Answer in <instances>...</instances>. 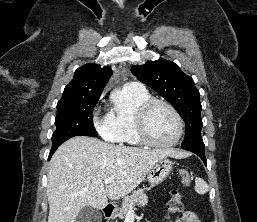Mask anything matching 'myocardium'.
Instances as JSON below:
<instances>
[{"mask_svg": "<svg viewBox=\"0 0 257 222\" xmlns=\"http://www.w3.org/2000/svg\"><path fill=\"white\" fill-rule=\"evenodd\" d=\"M157 105H163L166 108H168L171 111V113L174 115L177 121V126H178L177 135L170 142H166V143L157 142L153 140L149 134L148 126H147L148 116L151 110ZM136 130H137L138 137L143 144L148 145L150 147H155V148H170L177 145L181 140L184 133V121L179 111L170 102L163 99L150 98L147 101H145L138 109V112L136 115Z\"/></svg>", "mask_w": 257, "mask_h": 222, "instance_id": "f54148a6", "label": "myocardium"}]
</instances>
